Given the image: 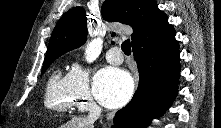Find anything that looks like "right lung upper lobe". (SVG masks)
Instances as JSON below:
<instances>
[{
	"label": "right lung upper lobe",
	"mask_w": 221,
	"mask_h": 128,
	"mask_svg": "<svg viewBox=\"0 0 221 128\" xmlns=\"http://www.w3.org/2000/svg\"><path fill=\"white\" fill-rule=\"evenodd\" d=\"M101 12L104 20L122 22L133 28L132 47L161 46L175 34L154 0H105ZM86 21L82 7L67 11L53 30L45 60L58 58L83 45L87 38Z\"/></svg>",
	"instance_id": "obj_1"
}]
</instances>
